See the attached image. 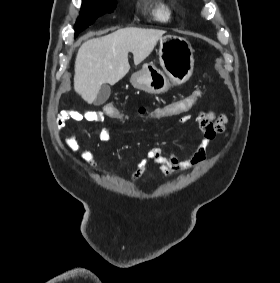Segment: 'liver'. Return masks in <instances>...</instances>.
I'll list each match as a JSON object with an SVG mask.
<instances>
[{
  "mask_svg": "<svg viewBox=\"0 0 280 283\" xmlns=\"http://www.w3.org/2000/svg\"><path fill=\"white\" fill-rule=\"evenodd\" d=\"M165 31L127 27L81 45L75 60L74 90L88 103L103 84H116L130 70L128 53L138 65L153 51Z\"/></svg>",
  "mask_w": 280,
  "mask_h": 283,
  "instance_id": "obj_1",
  "label": "liver"
}]
</instances>
